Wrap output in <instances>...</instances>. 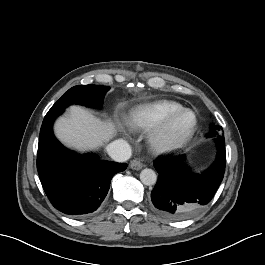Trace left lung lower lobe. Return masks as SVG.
<instances>
[{"mask_svg": "<svg viewBox=\"0 0 265 265\" xmlns=\"http://www.w3.org/2000/svg\"><path fill=\"white\" fill-rule=\"evenodd\" d=\"M218 152L215 162L202 174L186 167L185 155L156 162L158 182L151 200L158 213L170 220H184L200 213L212 200L225 172L224 138L215 140Z\"/></svg>", "mask_w": 265, "mask_h": 265, "instance_id": "left-lung-lower-lobe-1", "label": "left lung lower lobe"}]
</instances>
